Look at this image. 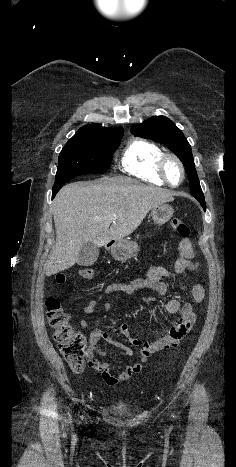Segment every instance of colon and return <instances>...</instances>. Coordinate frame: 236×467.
<instances>
[{
  "mask_svg": "<svg viewBox=\"0 0 236 467\" xmlns=\"http://www.w3.org/2000/svg\"><path fill=\"white\" fill-rule=\"evenodd\" d=\"M172 230L180 237L189 236V227L179 218L170 221ZM94 270L90 267H82L78 270L81 279H91ZM66 280L64 275H58L55 279L56 285H62ZM47 320L54 334V340L59 352L73 372H82L90 363V353L87 350L85 336L75 331L70 324V316L63 309L61 302L56 297L46 300Z\"/></svg>",
  "mask_w": 236,
  "mask_h": 467,
  "instance_id": "1",
  "label": "colon"
}]
</instances>
